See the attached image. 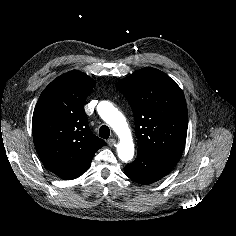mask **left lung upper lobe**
<instances>
[{"label": "left lung upper lobe", "mask_w": 236, "mask_h": 236, "mask_svg": "<svg viewBox=\"0 0 236 236\" xmlns=\"http://www.w3.org/2000/svg\"><path fill=\"white\" fill-rule=\"evenodd\" d=\"M116 87L133 110L137 151L178 162L186 142L188 113L177 83L162 71L146 67Z\"/></svg>", "instance_id": "5c2ea615"}]
</instances>
